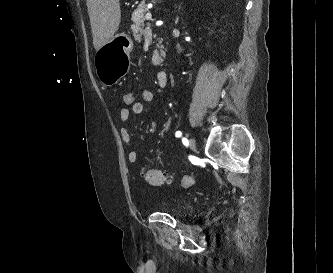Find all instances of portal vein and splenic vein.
Wrapping results in <instances>:
<instances>
[{
  "instance_id": "1",
  "label": "portal vein and splenic vein",
  "mask_w": 333,
  "mask_h": 273,
  "mask_svg": "<svg viewBox=\"0 0 333 273\" xmlns=\"http://www.w3.org/2000/svg\"><path fill=\"white\" fill-rule=\"evenodd\" d=\"M146 20H150L152 18V15L151 13H147L146 16H145Z\"/></svg>"
}]
</instances>
